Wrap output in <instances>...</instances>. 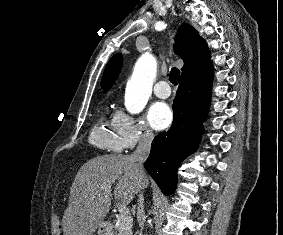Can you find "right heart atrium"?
Segmentation results:
<instances>
[{
  "instance_id": "obj_1",
  "label": "right heart atrium",
  "mask_w": 283,
  "mask_h": 235,
  "mask_svg": "<svg viewBox=\"0 0 283 235\" xmlns=\"http://www.w3.org/2000/svg\"><path fill=\"white\" fill-rule=\"evenodd\" d=\"M115 123L123 141V148H132L138 144L150 143L154 134L148 124L141 118L133 117L123 110L115 114Z\"/></svg>"
}]
</instances>
